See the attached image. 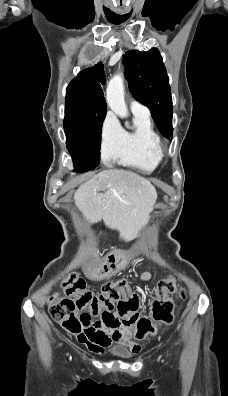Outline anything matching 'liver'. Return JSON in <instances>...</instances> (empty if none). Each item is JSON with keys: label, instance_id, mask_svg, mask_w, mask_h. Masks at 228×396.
<instances>
[{"label": "liver", "instance_id": "1", "mask_svg": "<svg viewBox=\"0 0 228 396\" xmlns=\"http://www.w3.org/2000/svg\"><path fill=\"white\" fill-rule=\"evenodd\" d=\"M156 199V189L148 180L117 169L98 173L74 194L75 204L88 222L103 219L128 238L148 224Z\"/></svg>", "mask_w": 228, "mask_h": 396}]
</instances>
